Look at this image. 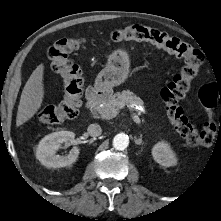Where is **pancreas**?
Wrapping results in <instances>:
<instances>
[{
	"label": "pancreas",
	"mask_w": 221,
	"mask_h": 221,
	"mask_svg": "<svg viewBox=\"0 0 221 221\" xmlns=\"http://www.w3.org/2000/svg\"><path fill=\"white\" fill-rule=\"evenodd\" d=\"M125 105H137V106H144L143 100L136 96L133 92L129 90H124L121 93L117 92L112 95L107 102L103 104V106H96L95 111L101 112L105 110H119L124 108Z\"/></svg>",
	"instance_id": "cf45deb5"
}]
</instances>
